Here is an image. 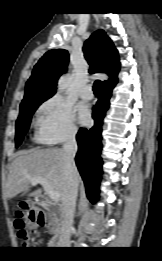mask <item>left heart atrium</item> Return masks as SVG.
I'll return each instance as SVG.
<instances>
[{
    "instance_id": "obj_1",
    "label": "left heart atrium",
    "mask_w": 162,
    "mask_h": 261,
    "mask_svg": "<svg viewBox=\"0 0 162 261\" xmlns=\"http://www.w3.org/2000/svg\"><path fill=\"white\" fill-rule=\"evenodd\" d=\"M78 111H79L80 121L83 124H86L90 119V112H89L88 108L85 105H80L78 107Z\"/></svg>"
}]
</instances>
